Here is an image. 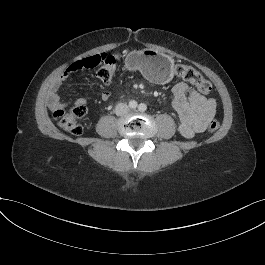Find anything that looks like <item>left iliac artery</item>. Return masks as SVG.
<instances>
[{"mask_svg":"<svg viewBox=\"0 0 265 265\" xmlns=\"http://www.w3.org/2000/svg\"><path fill=\"white\" fill-rule=\"evenodd\" d=\"M139 111L144 112L147 109V106L144 103H141L138 107Z\"/></svg>","mask_w":265,"mask_h":265,"instance_id":"44dca946","label":"left iliac artery"}]
</instances>
